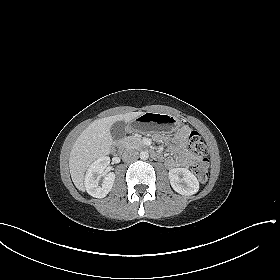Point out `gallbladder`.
I'll list each match as a JSON object with an SVG mask.
<instances>
[{"label": "gallbladder", "instance_id": "obj_1", "mask_svg": "<svg viewBox=\"0 0 280 280\" xmlns=\"http://www.w3.org/2000/svg\"><path fill=\"white\" fill-rule=\"evenodd\" d=\"M126 123L124 121H117L112 124L110 133L113 140H121L126 134Z\"/></svg>", "mask_w": 280, "mask_h": 280}]
</instances>
